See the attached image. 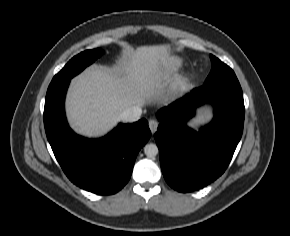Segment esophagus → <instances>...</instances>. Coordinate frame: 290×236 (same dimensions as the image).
Wrapping results in <instances>:
<instances>
[{
  "instance_id": "obj_1",
  "label": "esophagus",
  "mask_w": 290,
  "mask_h": 236,
  "mask_svg": "<svg viewBox=\"0 0 290 236\" xmlns=\"http://www.w3.org/2000/svg\"><path fill=\"white\" fill-rule=\"evenodd\" d=\"M158 124H159L158 121H156L154 119L149 120L148 125H149V128H150L152 134H154L156 132Z\"/></svg>"
}]
</instances>
